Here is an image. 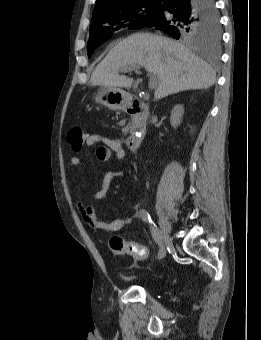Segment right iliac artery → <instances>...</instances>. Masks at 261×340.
I'll list each match as a JSON object with an SVG mask.
<instances>
[{"label": "right iliac artery", "mask_w": 261, "mask_h": 340, "mask_svg": "<svg viewBox=\"0 0 261 340\" xmlns=\"http://www.w3.org/2000/svg\"><path fill=\"white\" fill-rule=\"evenodd\" d=\"M140 217L141 219L148 223L150 226L151 235L155 241V243L159 246V251L157 254L156 259L162 260L165 257L166 251L165 247L162 241V232L159 230V228L153 223L150 214L147 210L141 209L140 210Z\"/></svg>", "instance_id": "1"}]
</instances>
